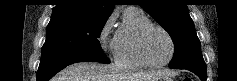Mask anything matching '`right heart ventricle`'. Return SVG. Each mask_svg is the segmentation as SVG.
<instances>
[{
	"label": "right heart ventricle",
	"instance_id": "obj_1",
	"mask_svg": "<svg viewBox=\"0 0 237 81\" xmlns=\"http://www.w3.org/2000/svg\"><path fill=\"white\" fill-rule=\"evenodd\" d=\"M148 16L140 9L128 8L123 23L115 34V62L126 68H142L145 64L136 52V36L140 28L149 23Z\"/></svg>",
	"mask_w": 237,
	"mask_h": 81
}]
</instances>
